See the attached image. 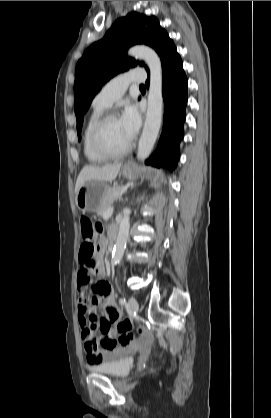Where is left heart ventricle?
<instances>
[{"label":"left heart ventricle","mask_w":271,"mask_h":418,"mask_svg":"<svg viewBox=\"0 0 271 418\" xmlns=\"http://www.w3.org/2000/svg\"><path fill=\"white\" fill-rule=\"evenodd\" d=\"M103 141L110 149L118 151L125 148L131 140L127 137L120 119L115 118L106 125Z\"/></svg>","instance_id":"left-heart-ventricle-1"}]
</instances>
